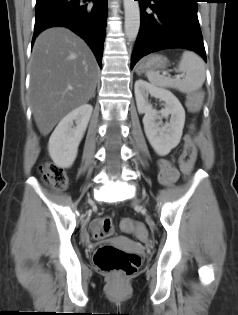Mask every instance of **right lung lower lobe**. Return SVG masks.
Returning <instances> with one entry per match:
<instances>
[{
  "label": "right lung lower lobe",
  "instance_id": "right-lung-lower-lobe-1",
  "mask_svg": "<svg viewBox=\"0 0 238 315\" xmlns=\"http://www.w3.org/2000/svg\"><path fill=\"white\" fill-rule=\"evenodd\" d=\"M36 0L32 44L43 30L64 26L82 37L93 50L102 67L103 43L107 18V0Z\"/></svg>",
  "mask_w": 238,
  "mask_h": 315
}]
</instances>
